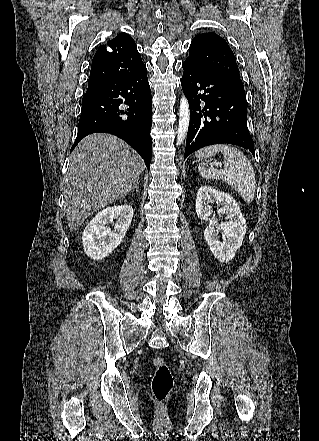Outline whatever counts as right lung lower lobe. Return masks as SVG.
Here are the masks:
<instances>
[{"instance_id": "obj_1", "label": "right lung lower lobe", "mask_w": 319, "mask_h": 441, "mask_svg": "<svg viewBox=\"0 0 319 441\" xmlns=\"http://www.w3.org/2000/svg\"><path fill=\"white\" fill-rule=\"evenodd\" d=\"M128 105L122 108L121 104ZM151 90L142 65L86 92L75 146L87 135L104 132L118 136L134 148L150 167L152 139Z\"/></svg>"}]
</instances>
